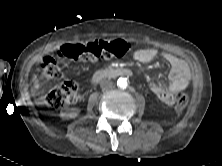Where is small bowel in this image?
Returning a JSON list of instances; mask_svg holds the SVG:
<instances>
[{
	"instance_id": "1",
	"label": "small bowel",
	"mask_w": 222,
	"mask_h": 166,
	"mask_svg": "<svg viewBox=\"0 0 222 166\" xmlns=\"http://www.w3.org/2000/svg\"><path fill=\"white\" fill-rule=\"evenodd\" d=\"M159 55L171 68L169 83L167 85L152 83L150 87L160 101L168 106H172L175 104V95L188 87L191 79L190 70L183 59L168 52L160 54L155 48L139 49L134 52L133 57L139 62L147 63Z\"/></svg>"
}]
</instances>
